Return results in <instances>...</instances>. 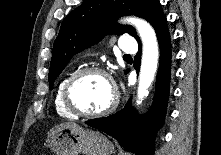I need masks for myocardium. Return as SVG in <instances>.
<instances>
[{"mask_svg":"<svg viewBox=\"0 0 221 155\" xmlns=\"http://www.w3.org/2000/svg\"><path fill=\"white\" fill-rule=\"evenodd\" d=\"M89 74H99L104 76L110 82L113 89V97L110 104L106 108L98 112L82 111L74 104L71 97V92L76 82L83 76ZM62 101L66 109L75 116L84 117V118H100L109 115L116 109L119 103V92L111 75L105 69L96 66H91V67L82 68L71 74V76L68 78V80L64 85L62 92Z\"/></svg>","mask_w":221,"mask_h":155,"instance_id":"obj_1","label":"myocardium"}]
</instances>
